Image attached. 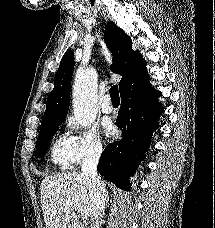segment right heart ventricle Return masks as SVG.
I'll list each match as a JSON object with an SVG mask.
<instances>
[{
    "mask_svg": "<svg viewBox=\"0 0 215 228\" xmlns=\"http://www.w3.org/2000/svg\"><path fill=\"white\" fill-rule=\"evenodd\" d=\"M51 160L61 170L74 168L76 165L74 138L67 134L60 135L52 144Z\"/></svg>",
    "mask_w": 215,
    "mask_h": 228,
    "instance_id": "obj_1",
    "label": "right heart ventricle"
}]
</instances>
